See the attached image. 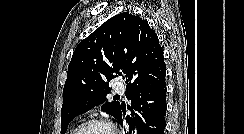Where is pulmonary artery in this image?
<instances>
[{
    "label": "pulmonary artery",
    "instance_id": "pulmonary-artery-1",
    "mask_svg": "<svg viewBox=\"0 0 244 134\" xmlns=\"http://www.w3.org/2000/svg\"><path fill=\"white\" fill-rule=\"evenodd\" d=\"M114 90L117 92V93H124L125 92V85L121 82H117L115 85H114Z\"/></svg>",
    "mask_w": 244,
    "mask_h": 134
}]
</instances>
